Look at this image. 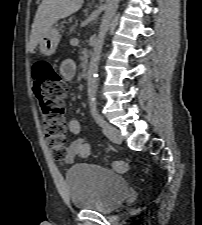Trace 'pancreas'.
I'll return each mask as SVG.
<instances>
[{
    "label": "pancreas",
    "mask_w": 202,
    "mask_h": 225,
    "mask_svg": "<svg viewBox=\"0 0 202 225\" xmlns=\"http://www.w3.org/2000/svg\"><path fill=\"white\" fill-rule=\"evenodd\" d=\"M70 31L72 32L73 31V28H71Z\"/></svg>",
    "instance_id": "1"
}]
</instances>
